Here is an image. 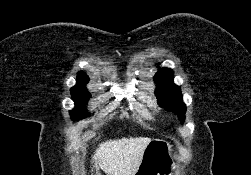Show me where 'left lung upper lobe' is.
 I'll return each instance as SVG.
<instances>
[{"instance_id": "1", "label": "left lung upper lobe", "mask_w": 251, "mask_h": 175, "mask_svg": "<svg viewBox=\"0 0 251 175\" xmlns=\"http://www.w3.org/2000/svg\"><path fill=\"white\" fill-rule=\"evenodd\" d=\"M173 71L169 68L159 69L154 76L156 84L155 95L159 104L178 115L183 123L186 106L182 101L181 90L173 83Z\"/></svg>"}]
</instances>
